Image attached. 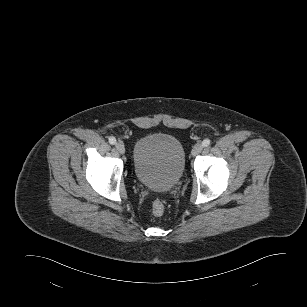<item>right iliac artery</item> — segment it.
<instances>
[{
	"label": "right iliac artery",
	"mask_w": 307,
	"mask_h": 307,
	"mask_svg": "<svg viewBox=\"0 0 307 307\" xmlns=\"http://www.w3.org/2000/svg\"><path fill=\"white\" fill-rule=\"evenodd\" d=\"M109 143L112 144V145H114V144L116 143L115 137H110V138H109Z\"/></svg>",
	"instance_id": "obj_1"
}]
</instances>
